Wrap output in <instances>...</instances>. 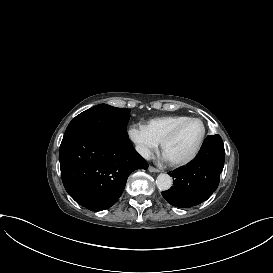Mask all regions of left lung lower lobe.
Instances as JSON below:
<instances>
[{"instance_id":"0a47b994","label":"left lung lower lobe","mask_w":273,"mask_h":273,"mask_svg":"<svg viewBox=\"0 0 273 273\" xmlns=\"http://www.w3.org/2000/svg\"><path fill=\"white\" fill-rule=\"evenodd\" d=\"M225 150L220 135L207 136L197 157L186 166L169 172L173 186L162 192L165 200L179 208H190L207 200L217 189Z\"/></svg>"}]
</instances>
